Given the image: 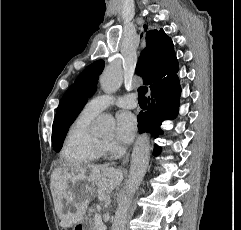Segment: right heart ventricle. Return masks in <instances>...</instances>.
<instances>
[{
	"mask_svg": "<svg viewBox=\"0 0 241 230\" xmlns=\"http://www.w3.org/2000/svg\"><path fill=\"white\" fill-rule=\"evenodd\" d=\"M95 116L83 110L68 128L61 151L65 164L84 165L100 157L102 143L90 131Z\"/></svg>",
	"mask_w": 241,
	"mask_h": 230,
	"instance_id": "right-heart-ventricle-1",
	"label": "right heart ventricle"
}]
</instances>
